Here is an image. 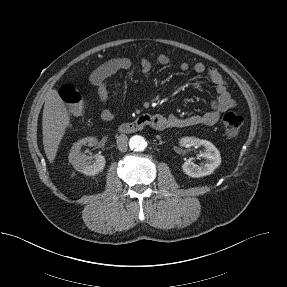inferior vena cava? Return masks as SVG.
I'll return each instance as SVG.
<instances>
[{"label": "inferior vena cava", "instance_id": "1", "mask_svg": "<svg viewBox=\"0 0 287 287\" xmlns=\"http://www.w3.org/2000/svg\"><path fill=\"white\" fill-rule=\"evenodd\" d=\"M117 147L121 152H126L128 149V137L125 134H121L117 137Z\"/></svg>", "mask_w": 287, "mask_h": 287}]
</instances>
